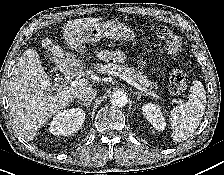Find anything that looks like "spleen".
<instances>
[{
    "mask_svg": "<svg viewBox=\"0 0 224 175\" xmlns=\"http://www.w3.org/2000/svg\"><path fill=\"white\" fill-rule=\"evenodd\" d=\"M191 94L185 104L170 111L169 122L173 142H181L191 136L199 126L206 107V92L201 81H193Z\"/></svg>",
    "mask_w": 224,
    "mask_h": 175,
    "instance_id": "1",
    "label": "spleen"
}]
</instances>
